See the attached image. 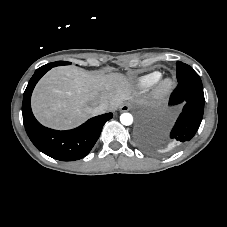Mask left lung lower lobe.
Instances as JSON below:
<instances>
[{"label": "left lung lower lobe", "instance_id": "0a47b994", "mask_svg": "<svg viewBox=\"0 0 227 227\" xmlns=\"http://www.w3.org/2000/svg\"><path fill=\"white\" fill-rule=\"evenodd\" d=\"M204 102L202 85L190 82L178 83L169 101L170 105L185 104L170 133L175 145L180 146L195 135L202 120Z\"/></svg>", "mask_w": 227, "mask_h": 227}]
</instances>
